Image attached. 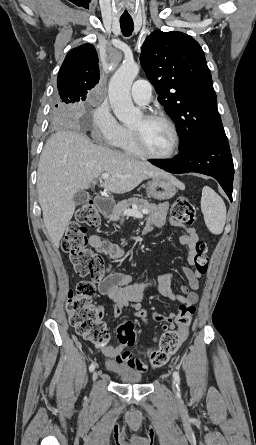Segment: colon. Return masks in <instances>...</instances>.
Masks as SVG:
<instances>
[{"mask_svg":"<svg viewBox=\"0 0 256 445\" xmlns=\"http://www.w3.org/2000/svg\"><path fill=\"white\" fill-rule=\"evenodd\" d=\"M171 219L174 225L187 226L196 221V210L187 197H180L172 206ZM100 218L94 201H88L78 211L77 219L72 222L62 241V249L68 254L75 272L93 281L104 277V260L93 253L88 247L87 232L89 228L99 226ZM207 246L204 242L196 244L194 265L200 273H205L209 259L206 254ZM95 287L90 281L79 282L69 292L66 309L70 316V323L77 334L95 344H106L110 335L103 322L102 307L94 302ZM195 313L193 306L181 309L176 317L177 330H167L161 337L160 345L150 353L151 365L155 368L168 363L170 357L179 349L184 340L185 329L191 324ZM118 339L122 344L132 345L136 341L137 333L134 324L126 322L118 329Z\"/></svg>","mask_w":256,"mask_h":445,"instance_id":"colon-1","label":"colon"}]
</instances>
